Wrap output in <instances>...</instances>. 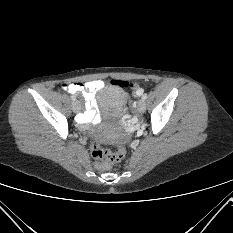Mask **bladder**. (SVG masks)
<instances>
[{"label":"bladder","instance_id":"obj_1","mask_svg":"<svg viewBox=\"0 0 233 233\" xmlns=\"http://www.w3.org/2000/svg\"><path fill=\"white\" fill-rule=\"evenodd\" d=\"M125 100V90L122 86L117 84H112L103 88L98 96V103L103 111L115 118L121 115ZM102 139L107 142H113L116 137L112 134H103Z\"/></svg>","mask_w":233,"mask_h":233}]
</instances>
